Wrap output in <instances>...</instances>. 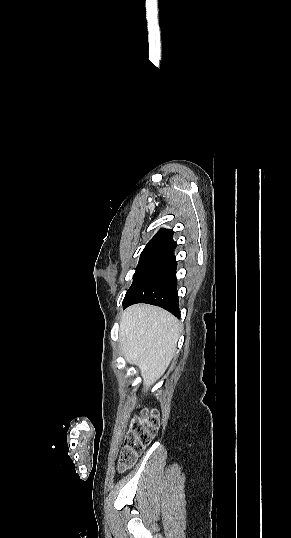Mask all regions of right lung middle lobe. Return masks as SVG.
<instances>
[{"instance_id":"obj_1","label":"right lung middle lobe","mask_w":291,"mask_h":538,"mask_svg":"<svg viewBox=\"0 0 291 538\" xmlns=\"http://www.w3.org/2000/svg\"><path fill=\"white\" fill-rule=\"evenodd\" d=\"M172 252V250L167 249H149L144 250L141 253L139 263L136 267V272L133 276V283L125 295L123 305L130 300L131 295L136 290L138 285L154 270L157 265H159L164 259L172 254Z\"/></svg>"}]
</instances>
